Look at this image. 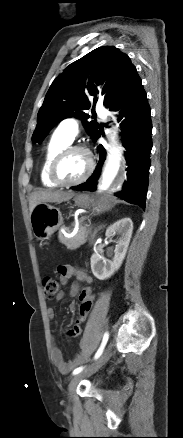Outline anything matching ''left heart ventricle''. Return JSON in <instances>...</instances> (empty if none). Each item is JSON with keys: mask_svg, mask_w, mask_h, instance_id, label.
Instances as JSON below:
<instances>
[{"mask_svg": "<svg viewBox=\"0 0 183 438\" xmlns=\"http://www.w3.org/2000/svg\"><path fill=\"white\" fill-rule=\"evenodd\" d=\"M86 168V156L82 152H73L61 161L57 174L62 181L72 182L79 179Z\"/></svg>", "mask_w": 183, "mask_h": 438, "instance_id": "b2bd125f", "label": "left heart ventricle"}]
</instances>
